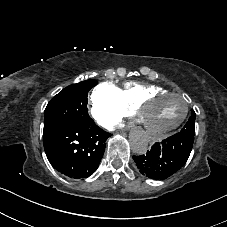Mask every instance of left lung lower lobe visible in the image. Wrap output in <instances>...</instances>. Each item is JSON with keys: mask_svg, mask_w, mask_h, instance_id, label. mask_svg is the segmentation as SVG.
Here are the masks:
<instances>
[{"mask_svg": "<svg viewBox=\"0 0 227 227\" xmlns=\"http://www.w3.org/2000/svg\"><path fill=\"white\" fill-rule=\"evenodd\" d=\"M194 136L176 133L155 143L145 155L133 156L142 174L159 180L176 173L188 160Z\"/></svg>", "mask_w": 227, "mask_h": 227, "instance_id": "0a47b994", "label": "left lung lower lobe"}]
</instances>
